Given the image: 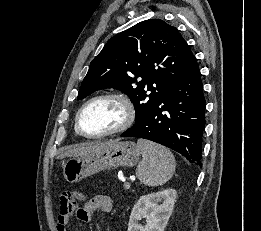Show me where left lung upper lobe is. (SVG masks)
I'll return each instance as SVG.
<instances>
[{"mask_svg": "<svg viewBox=\"0 0 261 231\" xmlns=\"http://www.w3.org/2000/svg\"><path fill=\"white\" fill-rule=\"evenodd\" d=\"M195 63L175 27L160 19L145 20L105 44L91 62L77 99L104 88L119 89L134 104L137 122Z\"/></svg>", "mask_w": 261, "mask_h": 231, "instance_id": "1", "label": "left lung upper lobe"}]
</instances>
